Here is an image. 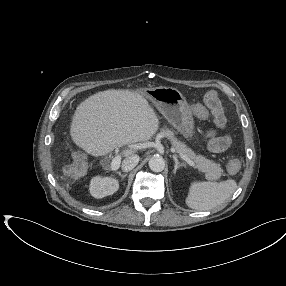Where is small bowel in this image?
<instances>
[{
  "mask_svg": "<svg viewBox=\"0 0 286 286\" xmlns=\"http://www.w3.org/2000/svg\"><path fill=\"white\" fill-rule=\"evenodd\" d=\"M193 113L198 117L207 115V110L201 104H195L192 106ZM214 119V124L218 128H223L225 125V117L223 111L218 113L211 111ZM207 141L208 149L213 153H222L227 150L230 145V138L227 135H215L212 132H207L204 135Z\"/></svg>",
  "mask_w": 286,
  "mask_h": 286,
  "instance_id": "obj_1",
  "label": "small bowel"
}]
</instances>
